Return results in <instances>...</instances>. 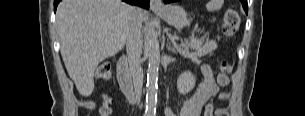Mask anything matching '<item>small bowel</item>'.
<instances>
[{"instance_id":"1","label":"small bowel","mask_w":305,"mask_h":116,"mask_svg":"<svg viewBox=\"0 0 305 116\" xmlns=\"http://www.w3.org/2000/svg\"><path fill=\"white\" fill-rule=\"evenodd\" d=\"M201 80L194 94L186 99L178 111L174 113L171 109H165L166 116H222L225 110L215 109V101L226 100L229 94L219 93V88L214 80V73L208 64L201 66Z\"/></svg>"}]
</instances>
